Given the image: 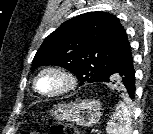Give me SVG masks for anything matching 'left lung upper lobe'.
<instances>
[{
  "label": "left lung upper lobe",
  "instance_id": "left-lung-upper-lobe-1",
  "mask_svg": "<svg viewBox=\"0 0 153 134\" xmlns=\"http://www.w3.org/2000/svg\"><path fill=\"white\" fill-rule=\"evenodd\" d=\"M132 58L125 29L106 12H89L65 21L43 42L33 60L40 65H59L74 73L80 85L103 82L120 85L114 75Z\"/></svg>",
  "mask_w": 153,
  "mask_h": 134
}]
</instances>
